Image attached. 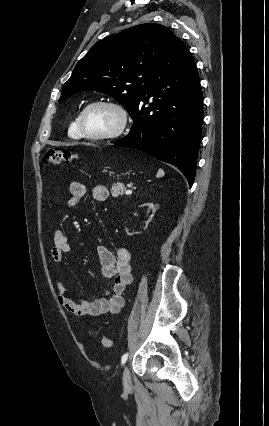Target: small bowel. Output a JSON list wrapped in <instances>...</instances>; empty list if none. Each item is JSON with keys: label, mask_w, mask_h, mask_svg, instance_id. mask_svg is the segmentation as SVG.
I'll list each match as a JSON object with an SVG mask.
<instances>
[{"label": "small bowel", "mask_w": 269, "mask_h": 426, "mask_svg": "<svg viewBox=\"0 0 269 426\" xmlns=\"http://www.w3.org/2000/svg\"><path fill=\"white\" fill-rule=\"evenodd\" d=\"M87 188L84 184L74 181L69 186V196L64 203V210L77 207L83 200ZM95 201L103 202L108 199L109 192L105 186L97 185L92 188ZM72 251L67 236L62 230L54 233V245L51 249L53 262L61 266L64 257ZM97 252L101 265V275L112 279L111 287L94 300H87L66 295L67 285L59 281L56 285L57 302L65 310L82 316L99 317L105 314L119 313L125 305L123 291L133 279L131 268V253L125 247H119L115 252L107 246L99 244Z\"/></svg>", "instance_id": "c3829d8e"}]
</instances>
